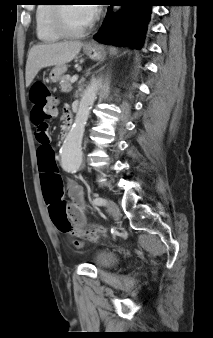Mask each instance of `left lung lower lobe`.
<instances>
[{
	"instance_id": "obj_1",
	"label": "left lung lower lobe",
	"mask_w": 213,
	"mask_h": 338,
	"mask_svg": "<svg viewBox=\"0 0 213 338\" xmlns=\"http://www.w3.org/2000/svg\"><path fill=\"white\" fill-rule=\"evenodd\" d=\"M110 6H123L117 14L108 8L107 15L95 40L118 46L140 49L150 21L153 0H112ZM117 3V4H116Z\"/></svg>"
}]
</instances>
